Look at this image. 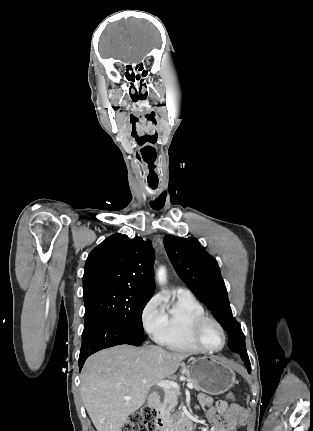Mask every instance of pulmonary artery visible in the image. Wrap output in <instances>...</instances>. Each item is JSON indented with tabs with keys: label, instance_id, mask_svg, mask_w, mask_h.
Masks as SVG:
<instances>
[{
	"label": "pulmonary artery",
	"instance_id": "obj_1",
	"mask_svg": "<svg viewBox=\"0 0 313 431\" xmlns=\"http://www.w3.org/2000/svg\"><path fill=\"white\" fill-rule=\"evenodd\" d=\"M177 293H190V291L188 289H186V288L179 287L177 289Z\"/></svg>",
	"mask_w": 313,
	"mask_h": 431
}]
</instances>
